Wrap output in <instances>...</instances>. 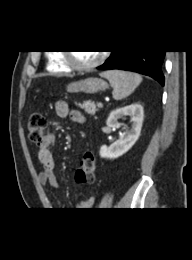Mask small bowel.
<instances>
[{
    "label": "small bowel",
    "mask_w": 192,
    "mask_h": 260,
    "mask_svg": "<svg viewBox=\"0 0 192 260\" xmlns=\"http://www.w3.org/2000/svg\"><path fill=\"white\" fill-rule=\"evenodd\" d=\"M56 112L61 117L70 116V118L78 123L84 122L82 114L75 110H70L68 105L64 101H57L55 105ZM54 142L52 134L45 136L43 143L39 146L38 159L42 166V169L38 175V179L41 185L49 184L53 188L59 186L58 178L55 174V161L51 151ZM95 202L94 197L81 200L77 202V210H89L93 207Z\"/></svg>",
    "instance_id": "c3829d8e"
}]
</instances>
